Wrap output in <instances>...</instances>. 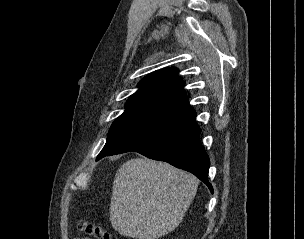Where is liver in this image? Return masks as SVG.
I'll return each instance as SVG.
<instances>
[{
  "label": "liver",
  "mask_w": 304,
  "mask_h": 239,
  "mask_svg": "<svg viewBox=\"0 0 304 239\" xmlns=\"http://www.w3.org/2000/svg\"><path fill=\"white\" fill-rule=\"evenodd\" d=\"M198 184L194 175L168 163L147 158L128 160L113 182L111 225L126 237L160 238L181 223Z\"/></svg>",
  "instance_id": "6515ba94"
}]
</instances>
